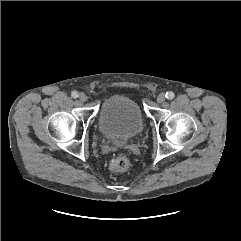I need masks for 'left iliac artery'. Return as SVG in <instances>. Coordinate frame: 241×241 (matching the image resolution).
Here are the masks:
<instances>
[{"label":"left iliac artery","instance_id":"obj_1","mask_svg":"<svg viewBox=\"0 0 241 241\" xmlns=\"http://www.w3.org/2000/svg\"><path fill=\"white\" fill-rule=\"evenodd\" d=\"M165 97L168 100H172L175 97V94L172 91H169V92L166 93Z\"/></svg>","mask_w":241,"mask_h":241}]
</instances>
